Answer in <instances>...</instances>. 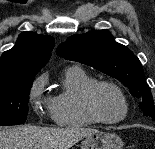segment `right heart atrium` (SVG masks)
<instances>
[{
	"mask_svg": "<svg viewBox=\"0 0 155 149\" xmlns=\"http://www.w3.org/2000/svg\"><path fill=\"white\" fill-rule=\"evenodd\" d=\"M46 83V76H40L32 85L29 93V99L36 111L40 112L43 107L49 109L51 106V99L43 96L44 86Z\"/></svg>",
	"mask_w": 155,
	"mask_h": 149,
	"instance_id": "1",
	"label": "right heart atrium"
}]
</instances>
